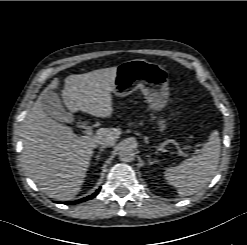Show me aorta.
Listing matches in <instances>:
<instances>
[{"label":"aorta","instance_id":"1","mask_svg":"<svg viewBox=\"0 0 247 245\" xmlns=\"http://www.w3.org/2000/svg\"><path fill=\"white\" fill-rule=\"evenodd\" d=\"M135 148L132 145L124 144L119 150V159L123 162H132L135 159Z\"/></svg>","mask_w":247,"mask_h":245}]
</instances>
